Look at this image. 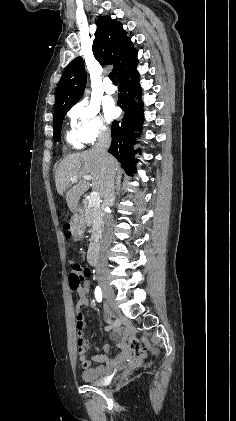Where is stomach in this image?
Listing matches in <instances>:
<instances>
[{
  "mask_svg": "<svg viewBox=\"0 0 236 421\" xmlns=\"http://www.w3.org/2000/svg\"><path fill=\"white\" fill-rule=\"evenodd\" d=\"M76 219H78L79 223H83V215H82V213H78V217H76Z\"/></svg>",
  "mask_w": 236,
  "mask_h": 421,
  "instance_id": "obj_1",
  "label": "stomach"
}]
</instances>
